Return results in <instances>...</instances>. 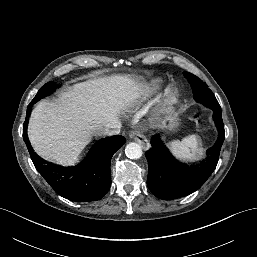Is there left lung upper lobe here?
I'll return each mask as SVG.
<instances>
[{
    "label": "left lung upper lobe",
    "instance_id": "obj_1",
    "mask_svg": "<svg viewBox=\"0 0 257 257\" xmlns=\"http://www.w3.org/2000/svg\"><path fill=\"white\" fill-rule=\"evenodd\" d=\"M184 76L192 87L195 101L200 102L211 109H221L215 95L208 88L206 83L188 72H185Z\"/></svg>",
    "mask_w": 257,
    "mask_h": 257
}]
</instances>
